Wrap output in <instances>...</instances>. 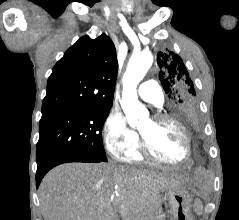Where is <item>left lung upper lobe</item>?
Listing matches in <instances>:
<instances>
[{
  "instance_id": "1",
  "label": "left lung upper lobe",
  "mask_w": 239,
  "mask_h": 220,
  "mask_svg": "<svg viewBox=\"0 0 239 220\" xmlns=\"http://www.w3.org/2000/svg\"><path fill=\"white\" fill-rule=\"evenodd\" d=\"M159 79L170 99L171 113L178 119L198 115L199 104L188 70L180 56L170 50L157 54Z\"/></svg>"
}]
</instances>
